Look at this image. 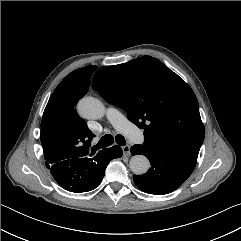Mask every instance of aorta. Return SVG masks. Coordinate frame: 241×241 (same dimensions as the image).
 I'll return each mask as SVG.
<instances>
[{"label":"aorta","mask_w":241,"mask_h":241,"mask_svg":"<svg viewBox=\"0 0 241 241\" xmlns=\"http://www.w3.org/2000/svg\"><path fill=\"white\" fill-rule=\"evenodd\" d=\"M77 108L80 115L87 119H101L105 114L103 103L90 96L82 98ZM129 167L134 174L142 175L148 171L150 163L144 155H135L130 159Z\"/></svg>","instance_id":"1"}]
</instances>
